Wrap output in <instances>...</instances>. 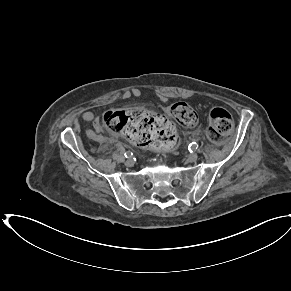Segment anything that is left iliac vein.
Returning <instances> with one entry per match:
<instances>
[{
  "label": "left iliac vein",
  "instance_id": "obj_1",
  "mask_svg": "<svg viewBox=\"0 0 291 291\" xmlns=\"http://www.w3.org/2000/svg\"><path fill=\"white\" fill-rule=\"evenodd\" d=\"M197 159H198V154L197 153H191L187 157V160L189 162H195Z\"/></svg>",
  "mask_w": 291,
  "mask_h": 291
}]
</instances>
